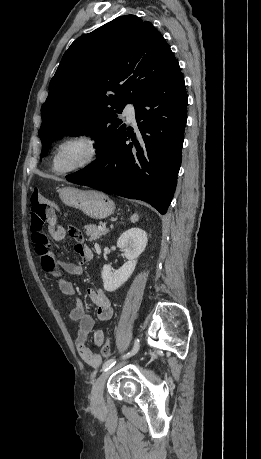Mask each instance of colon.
I'll return each mask as SVG.
<instances>
[{
    "label": "colon",
    "instance_id": "1",
    "mask_svg": "<svg viewBox=\"0 0 261 459\" xmlns=\"http://www.w3.org/2000/svg\"><path fill=\"white\" fill-rule=\"evenodd\" d=\"M30 201L32 204L30 233L35 238H44L46 232L42 228L56 218L58 206L54 201L42 195L38 188H34L32 191ZM70 232L73 236L80 237L81 232L79 231V233L74 227L70 228ZM111 352L112 344L110 338H108L101 347V355L104 358H108Z\"/></svg>",
    "mask_w": 261,
    "mask_h": 459
}]
</instances>
